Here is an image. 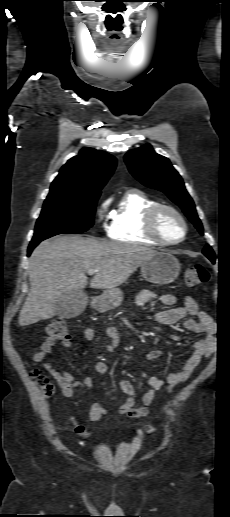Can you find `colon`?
<instances>
[{
  "label": "colon",
  "instance_id": "5ec220e1",
  "mask_svg": "<svg viewBox=\"0 0 230 517\" xmlns=\"http://www.w3.org/2000/svg\"><path fill=\"white\" fill-rule=\"evenodd\" d=\"M185 282L189 286L204 284L208 281V271L202 265L188 267L184 272ZM44 332L49 338L68 341L69 330L67 325L60 320L52 321L44 327ZM32 378L37 382L39 388L46 396H51L54 392V386L50 380L39 370H33Z\"/></svg>",
  "mask_w": 230,
  "mask_h": 517
}]
</instances>
